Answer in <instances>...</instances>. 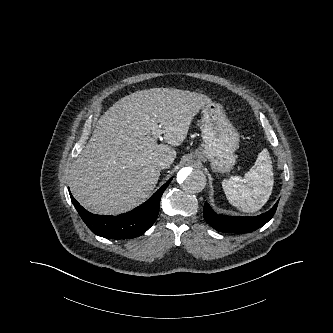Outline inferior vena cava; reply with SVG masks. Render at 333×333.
Masks as SVG:
<instances>
[{
    "instance_id": "obj_1",
    "label": "inferior vena cava",
    "mask_w": 333,
    "mask_h": 333,
    "mask_svg": "<svg viewBox=\"0 0 333 333\" xmlns=\"http://www.w3.org/2000/svg\"><path fill=\"white\" fill-rule=\"evenodd\" d=\"M156 167L158 169H165L167 167H169V162L168 160L166 159H159L157 162H156Z\"/></svg>"
}]
</instances>
